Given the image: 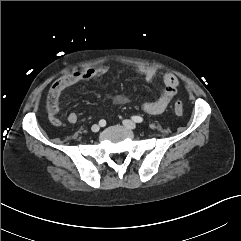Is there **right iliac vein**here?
Masks as SVG:
<instances>
[{
	"label": "right iliac vein",
	"instance_id": "63e3f726",
	"mask_svg": "<svg viewBox=\"0 0 241 241\" xmlns=\"http://www.w3.org/2000/svg\"><path fill=\"white\" fill-rule=\"evenodd\" d=\"M91 130H92V132L97 133V132L100 130V127H99V125L94 124V125L91 127Z\"/></svg>",
	"mask_w": 241,
	"mask_h": 241
}]
</instances>
